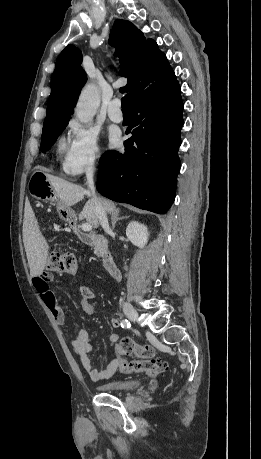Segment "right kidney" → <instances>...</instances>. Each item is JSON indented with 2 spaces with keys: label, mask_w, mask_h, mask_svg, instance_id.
I'll return each mask as SVG.
<instances>
[{
  "label": "right kidney",
  "mask_w": 261,
  "mask_h": 459,
  "mask_svg": "<svg viewBox=\"0 0 261 459\" xmlns=\"http://www.w3.org/2000/svg\"><path fill=\"white\" fill-rule=\"evenodd\" d=\"M126 236L133 245L143 248L148 242L149 232L145 225L132 221L126 228Z\"/></svg>",
  "instance_id": "right-kidney-1"
}]
</instances>
